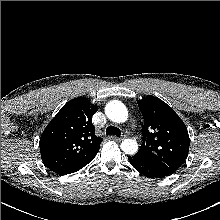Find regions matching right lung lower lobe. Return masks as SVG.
<instances>
[{
  "label": "right lung lower lobe",
  "mask_w": 220,
  "mask_h": 220,
  "mask_svg": "<svg viewBox=\"0 0 220 220\" xmlns=\"http://www.w3.org/2000/svg\"><path fill=\"white\" fill-rule=\"evenodd\" d=\"M94 157H95V155H94L91 159H89V160H87V161H85V162H82V163L73 165V166H71V167H69V168H67V169H64V170L61 171V172H58V174L63 175V174H69V173L76 172V171H78L79 169L83 168L85 165H87L89 162H91V161L94 159Z\"/></svg>",
  "instance_id": "obj_1"
}]
</instances>
